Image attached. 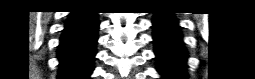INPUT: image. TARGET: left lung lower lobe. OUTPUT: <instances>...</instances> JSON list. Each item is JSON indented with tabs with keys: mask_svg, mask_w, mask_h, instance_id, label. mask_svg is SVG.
I'll use <instances>...</instances> for the list:
<instances>
[{
	"mask_svg": "<svg viewBox=\"0 0 255 79\" xmlns=\"http://www.w3.org/2000/svg\"><path fill=\"white\" fill-rule=\"evenodd\" d=\"M153 27L158 72L164 79H183L187 53L176 18L171 13L159 12Z\"/></svg>",
	"mask_w": 255,
	"mask_h": 79,
	"instance_id": "obj_1",
	"label": "left lung lower lobe"
}]
</instances>
